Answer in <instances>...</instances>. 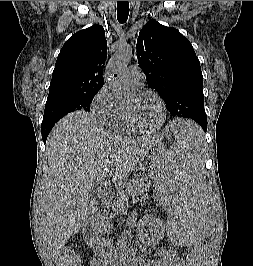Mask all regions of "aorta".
<instances>
[{"label":"aorta","mask_w":253,"mask_h":266,"mask_svg":"<svg viewBox=\"0 0 253 266\" xmlns=\"http://www.w3.org/2000/svg\"><path fill=\"white\" fill-rule=\"evenodd\" d=\"M132 56V46L123 45L119 47L105 68L104 78L117 97H126L130 92L124 73Z\"/></svg>","instance_id":"1"}]
</instances>
